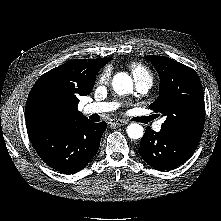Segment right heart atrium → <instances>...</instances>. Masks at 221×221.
<instances>
[{
  "instance_id": "1",
  "label": "right heart atrium",
  "mask_w": 221,
  "mask_h": 221,
  "mask_svg": "<svg viewBox=\"0 0 221 221\" xmlns=\"http://www.w3.org/2000/svg\"><path fill=\"white\" fill-rule=\"evenodd\" d=\"M110 79V70L105 68L98 76L99 84H106Z\"/></svg>"
}]
</instances>
